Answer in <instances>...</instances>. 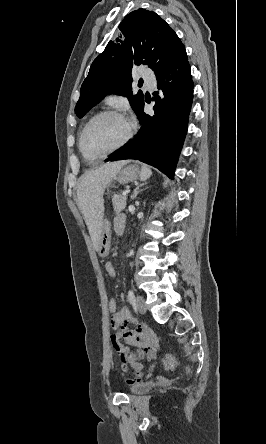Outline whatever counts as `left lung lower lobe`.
<instances>
[{
	"label": "left lung lower lobe",
	"instance_id": "1",
	"mask_svg": "<svg viewBox=\"0 0 266 444\" xmlns=\"http://www.w3.org/2000/svg\"><path fill=\"white\" fill-rule=\"evenodd\" d=\"M159 92L153 116L144 113V102L137 115L141 128L136 137L105 161L135 159L152 165L173 178L185 139L193 99V81L186 51L156 75ZM160 94L161 97L158 95Z\"/></svg>",
	"mask_w": 266,
	"mask_h": 444
}]
</instances>
